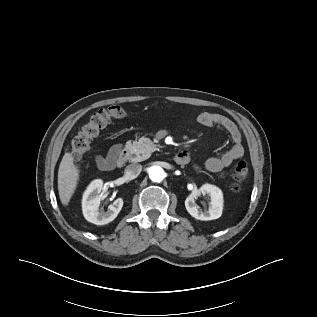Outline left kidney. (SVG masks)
<instances>
[{
  "mask_svg": "<svg viewBox=\"0 0 317 317\" xmlns=\"http://www.w3.org/2000/svg\"><path fill=\"white\" fill-rule=\"evenodd\" d=\"M201 194H207L210 198V207L208 209H199L195 203V199ZM185 207L188 213L195 219L203 221L218 219L222 215L223 210V193L214 185L204 184L200 189L193 190L186 198Z\"/></svg>",
  "mask_w": 317,
  "mask_h": 317,
  "instance_id": "left-kidney-1",
  "label": "left kidney"
}]
</instances>
